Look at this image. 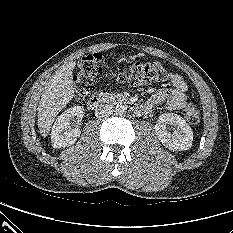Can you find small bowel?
<instances>
[{
  "label": "small bowel",
  "instance_id": "1",
  "mask_svg": "<svg viewBox=\"0 0 233 233\" xmlns=\"http://www.w3.org/2000/svg\"><path fill=\"white\" fill-rule=\"evenodd\" d=\"M171 87L156 91L143 107L145 113L152 111L156 106L164 104L169 111L182 109L187 102V83L178 74H172Z\"/></svg>",
  "mask_w": 233,
  "mask_h": 233
}]
</instances>
